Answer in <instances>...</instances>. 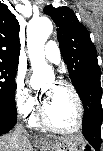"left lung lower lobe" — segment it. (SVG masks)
Masks as SVG:
<instances>
[{"label":"left lung lower lobe","mask_w":103,"mask_h":151,"mask_svg":"<svg viewBox=\"0 0 103 151\" xmlns=\"http://www.w3.org/2000/svg\"><path fill=\"white\" fill-rule=\"evenodd\" d=\"M100 76L101 74L86 76L78 91L84 105L83 135L96 151H99L101 146V124L103 121Z\"/></svg>","instance_id":"obj_1"}]
</instances>
